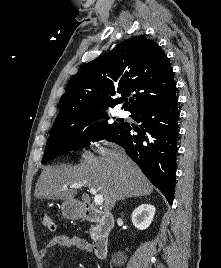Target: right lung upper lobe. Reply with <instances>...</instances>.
<instances>
[{
    "mask_svg": "<svg viewBox=\"0 0 221 268\" xmlns=\"http://www.w3.org/2000/svg\"><path fill=\"white\" fill-rule=\"evenodd\" d=\"M173 70L161 47L143 36L129 38L110 52L83 65L70 79L56 120L71 119L115 107L131 114L175 94ZM117 94L122 97L115 98Z\"/></svg>",
    "mask_w": 221,
    "mask_h": 268,
    "instance_id": "cb5924a9",
    "label": "right lung upper lobe"
}]
</instances>
